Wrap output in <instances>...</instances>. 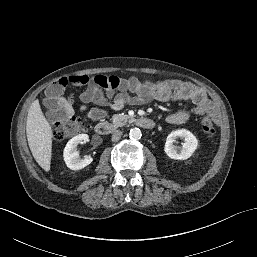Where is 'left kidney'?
I'll use <instances>...</instances> for the list:
<instances>
[{
    "instance_id": "left-kidney-1",
    "label": "left kidney",
    "mask_w": 257,
    "mask_h": 257,
    "mask_svg": "<svg viewBox=\"0 0 257 257\" xmlns=\"http://www.w3.org/2000/svg\"><path fill=\"white\" fill-rule=\"evenodd\" d=\"M176 138L184 140L182 147L175 146L173 143ZM198 145L196 137L186 129L172 131L166 140L164 151L168 157L175 160H186L192 156Z\"/></svg>"
}]
</instances>
